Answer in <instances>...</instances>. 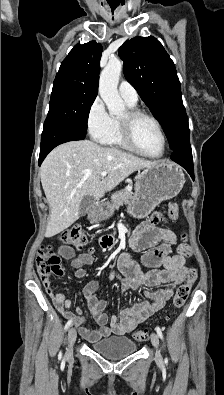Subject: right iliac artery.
<instances>
[{
	"mask_svg": "<svg viewBox=\"0 0 224 395\" xmlns=\"http://www.w3.org/2000/svg\"><path fill=\"white\" fill-rule=\"evenodd\" d=\"M71 325H72V320H68V322L65 325V330H67Z\"/></svg>",
	"mask_w": 224,
	"mask_h": 395,
	"instance_id": "right-iliac-artery-1",
	"label": "right iliac artery"
}]
</instances>
